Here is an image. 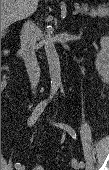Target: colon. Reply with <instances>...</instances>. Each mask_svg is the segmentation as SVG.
Wrapping results in <instances>:
<instances>
[{"mask_svg": "<svg viewBox=\"0 0 109 170\" xmlns=\"http://www.w3.org/2000/svg\"><path fill=\"white\" fill-rule=\"evenodd\" d=\"M31 170H45L43 166L41 165H35L31 168Z\"/></svg>", "mask_w": 109, "mask_h": 170, "instance_id": "5ec220e1", "label": "colon"}]
</instances>
